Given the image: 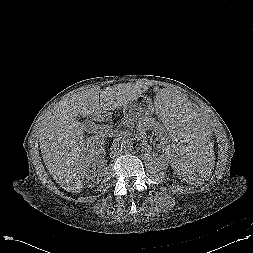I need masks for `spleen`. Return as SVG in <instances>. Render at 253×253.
Wrapping results in <instances>:
<instances>
[{
    "instance_id": "1",
    "label": "spleen",
    "mask_w": 253,
    "mask_h": 253,
    "mask_svg": "<svg viewBox=\"0 0 253 253\" xmlns=\"http://www.w3.org/2000/svg\"><path fill=\"white\" fill-rule=\"evenodd\" d=\"M154 109L166 126L174 174L186 186L199 185L214 171L217 159L203 113L176 89L158 92Z\"/></svg>"
}]
</instances>
